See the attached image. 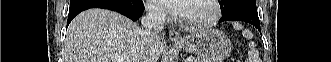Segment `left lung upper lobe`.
I'll use <instances>...</instances> for the list:
<instances>
[{"label":"left lung upper lobe","mask_w":331,"mask_h":62,"mask_svg":"<svg viewBox=\"0 0 331 62\" xmlns=\"http://www.w3.org/2000/svg\"><path fill=\"white\" fill-rule=\"evenodd\" d=\"M220 6L224 9V14L236 10H246L257 13L255 0H221Z\"/></svg>","instance_id":"1"}]
</instances>
